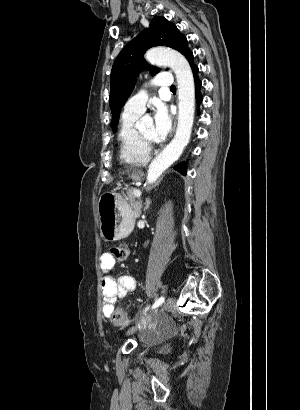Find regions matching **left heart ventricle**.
Returning a JSON list of instances; mask_svg holds the SVG:
<instances>
[{"label":"left heart ventricle","instance_id":"b2bd125f","mask_svg":"<svg viewBox=\"0 0 300 410\" xmlns=\"http://www.w3.org/2000/svg\"><path fill=\"white\" fill-rule=\"evenodd\" d=\"M141 132H142L147 138L154 140V136H153L154 129H153V124H152V123H149V124L145 125V126L141 129Z\"/></svg>","mask_w":300,"mask_h":410}]
</instances>
